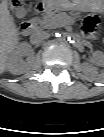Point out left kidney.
Wrapping results in <instances>:
<instances>
[{
  "label": "left kidney",
  "mask_w": 104,
  "mask_h": 137,
  "mask_svg": "<svg viewBox=\"0 0 104 137\" xmlns=\"http://www.w3.org/2000/svg\"><path fill=\"white\" fill-rule=\"evenodd\" d=\"M94 63H97V64H100V65H103V62H104V55L102 52L100 51H96L93 53V60H92Z\"/></svg>",
  "instance_id": "1"
}]
</instances>
